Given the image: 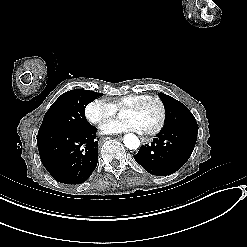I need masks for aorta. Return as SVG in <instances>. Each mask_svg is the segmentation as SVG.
<instances>
[{
  "label": "aorta",
  "instance_id": "1",
  "mask_svg": "<svg viewBox=\"0 0 247 247\" xmlns=\"http://www.w3.org/2000/svg\"><path fill=\"white\" fill-rule=\"evenodd\" d=\"M123 142L124 145L131 150H136L140 146L139 138L133 133L126 134Z\"/></svg>",
  "mask_w": 247,
  "mask_h": 247
}]
</instances>
